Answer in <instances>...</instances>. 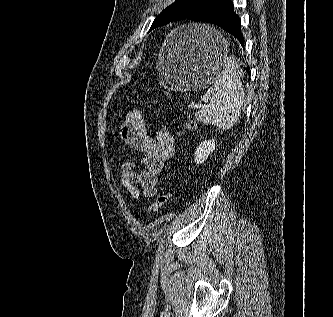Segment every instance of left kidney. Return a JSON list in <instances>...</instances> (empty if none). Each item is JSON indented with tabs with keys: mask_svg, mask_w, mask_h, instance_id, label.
I'll use <instances>...</instances> for the list:
<instances>
[{
	"mask_svg": "<svg viewBox=\"0 0 333 317\" xmlns=\"http://www.w3.org/2000/svg\"><path fill=\"white\" fill-rule=\"evenodd\" d=\"M215 140H204L196 149L194 161L197 164L203 163L208 156L215 150Z\"/></svg>",
	"mask_w": 333,
	"mask_h": 317,
	"instance_id": "obj_1",
	"label": "left kidney"
}]
</instances>
